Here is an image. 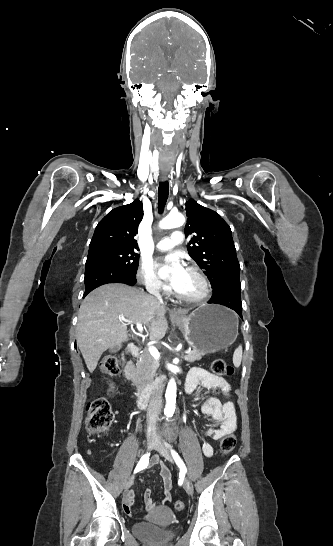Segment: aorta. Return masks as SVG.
Wrapping results in <instances>:
<instances>
[{"instance_id":"762f6f07","label":"aorta","mask_w":333,"mask_h":546,"mask_svg":"<svg viewBox=\"0 0 333 546\" xmlns=\"http://www.w3.org/2000/svg\"><path fill=\"white\" fill-rule=\"evenodd\" d=\"M185 223V217L181 213H169L160 223L159 227L161 229H171V228H178L183 226ZM176 381L174 378H171L165 398H166V406L164 409V413L167 417H171L174 414L175 407H176Z\"/></svg>"}]
</instances>
